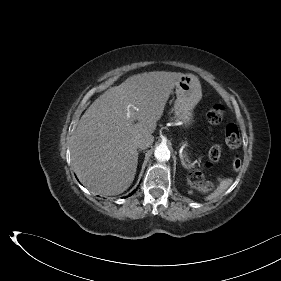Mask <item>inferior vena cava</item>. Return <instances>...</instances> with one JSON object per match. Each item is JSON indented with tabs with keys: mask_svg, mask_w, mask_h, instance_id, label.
Returning <instances> with one entry per match:
<instances>
[{
	"mask_svg": "<svg viewBox=\"0 0 281 281\" xmlns=\"http://www.w3.org/2000/svg\"><path fill=\"white\" fill-rule=\"evenodd\" d=\"M154 141V137L152 135L142 136L137 140V147L139 149L148 148Z\"/></svg>",
	"mask_w": 281,
	"mask_h": 281,
	"instance_id": "602c4592",
	"label": "inferior vena cava"
}]
</instances>
